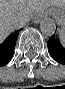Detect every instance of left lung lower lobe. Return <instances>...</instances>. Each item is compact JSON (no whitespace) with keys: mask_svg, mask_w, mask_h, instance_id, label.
<instances>
[{"mask_svg":"<svg viewBox=\"0 0 65 89\" xmlns=\"http://www.w3.org/2000/svg\"><path fill=\"white\" fill-rule=\"evenodd\" d=\"M47 47L54 60L65 64V42H62L58 37L53 35L47 42Z\"/></svg>","mask_w":65,"mask_h":89,"instance_id":"1","label":"left lung lower lobe"}]
</instances>
